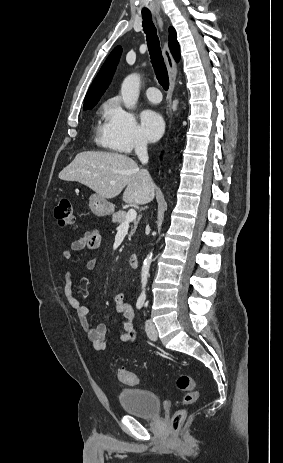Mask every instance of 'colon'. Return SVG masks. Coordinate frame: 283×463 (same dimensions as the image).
<instances>
[{"instance_id": "5ec220e1", "label": "colon", "mask_w": 283, "mask_h": 463, "mask_svg": "<svg viewBox=\"0 0 283 463\" xmlns=\"http://www.w3.org/2000/svg\"><path fill=\"white\" fill-rule=\"evenodd\" d=\"M55 217L60 226H71L75 222V216L70 199L60 198L55 209ZM117 377L120 382L135 386L141 383V378L130 371L119 369ZM177 387L183 393L182 407L177 410L172 418L174 431L177 433L187 414V408L195 404L199 399V391L195 381L188 375H180L177 378Z\"/></svg>"}]
</instances>
